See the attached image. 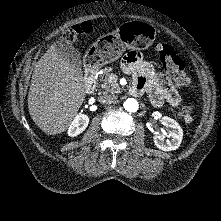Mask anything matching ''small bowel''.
<instances>
[{
    "instance_id": "1",
    "label": "small bowel",
    "mask_w": 221,
    "mask_h": 221,
    "mask_svg": "<svg viewBox=\"0 0 221 221\" xmlns=\"http://www.w3.org/2000/svg\"><path fill=\"white\" fill-rule=\"evenodd\" d=\"M122 67L126 73L133 76L135 94L148 93L153 105L158 107L165 102L173 107L180 105L181 97L177 88L185 85H178L159 73L140 53L128 52L123 58Z\"/></svg>"
}]
</instances>
